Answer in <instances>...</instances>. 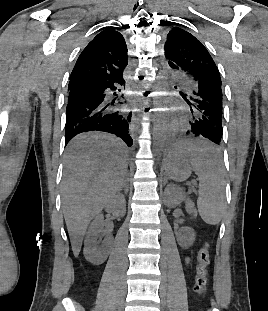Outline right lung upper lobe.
<instances>
[{"label":"right lung upper lobe","mask_w":268,"mask_h":311,"mask_svg":"<svg viewBox=\"0 0 268 311\" xmlns=\"http://www.w3.org/2000/svg\"><path fill=\"white\" fill-rule=\"evenodd\" d=\"M127 45L113 28L100 32L79 55L70 75L69 87L107 81L123 75L128 64Z\"/></svg>","instance_id":"1"}]
</instances>
